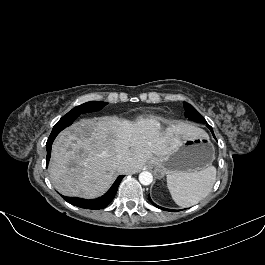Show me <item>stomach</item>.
Here are the masks:
<instances>
[{"mask_svg":"<svg viewBox=\"0 0 265 265\" xmlns=\"http://www.w3.org/2000/svg\"><path fill=\"white\" fill-rule=\"evenodd\" d=\"M215 158L214 146L206 133L180 139L166 156L150 161L158 176L197 172L210 166Z\"/></svg>","mask_w":265,"mask_h":265,"instance_id":"0dacf381","label":"stomach"}]
</instances>
